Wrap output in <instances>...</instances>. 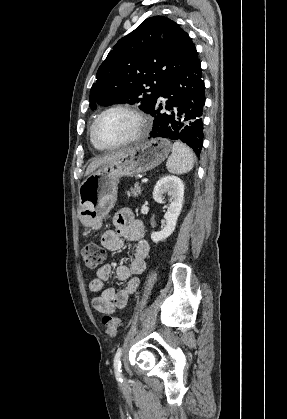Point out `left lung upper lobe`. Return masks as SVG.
<instances>
[{"label":"left lung upper lobe","mask_w":287,"mask_h":419,"mask_svg":"<svg viewBox=\"0 0 287 419\" xmlns=\"http://www.w3.org/2000/svg\"><path fill=\"white\" fill-rule=\"evenodd\" d=\"M198 58L191 38L164 16L144 20L120 39L97 71L90 106L140 103L152 109L161 87Z\"/></svg>","instance_id":"5c2ea615"}]
</instances>
